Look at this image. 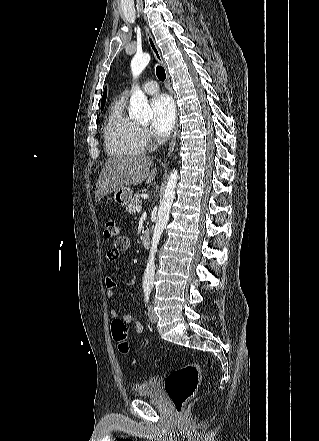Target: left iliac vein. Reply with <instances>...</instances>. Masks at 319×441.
<instances>
[{
  "label": "left iliac vein",
  "mask_w": 319,
  "mask_h": 441,
  "mask_svg": "<svg viewBox=\"0 0 319 441\" xmlns=\"http://www.w3.org/2000/svg\"><path fill=\"white\" fill-rule=\"evenodd\" d=\"M148 318L152 323H156L158 321V317L152 306L148 309Z\"/></svg>",
  "instance_id": "left-iliac-vein-1"
}]
</instances>
